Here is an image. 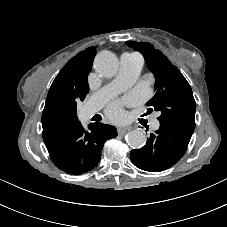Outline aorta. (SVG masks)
<instances>
[{"label": "aorta", "mask_w": 227, "mask_h": 227, "mask_svg": "<svg viewBox=\"0 0 227 227\" xmlns=\"http://www.w3.org/2000/svg\"><path fill=\"white\" fill-rule=\"evenodd\" d=\"M119 61L117 56L110 51H102L96 55L94 69L102 77H113L118 71ZM146 135L141 130H131L126 135L129 146L139 149L146 144Z\"/></svg>", "instance_id": "762f6f07"}]
</instances>
